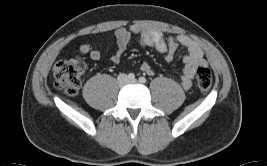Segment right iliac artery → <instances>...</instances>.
Wrapping results in <instances>:
<instances>
[{
	"mask_svg": "<svg viewBox=\"0 0 267 166\" xmlns=\"http://www.w3.org/2000/svg\"><path fill=\"white\" fill-rule=\"evenodd\" d=\"M127 77H128V79H130V80L135 79V75H134L133 73H129Z\"/></svg>",
	"mask_w": 267,
	"mask_h": 166,
	"instance_id": "82829eb1",
	"label": "right iliac artery"
}]
</instances>
